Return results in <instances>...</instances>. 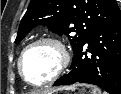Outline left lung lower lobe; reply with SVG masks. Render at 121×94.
I'll return each mask as SVG.
<instances>
[{"instance_id": "left-lung-lower-lobe-1", "label": "left lung lower lobe", "mask_w": 121, "mask_h": 94, "mask_svg": "<svg viewBox=\"0 0 121 94\" xmlns=\"http://www.w3.org/2000/svg\"><path fill=\"white\" fill-rule=\"evenodd\" d=\"M70 69L53 86L80 82L121 94V13L97 28L74 52Z\"/></svg>"}]
</instances>
